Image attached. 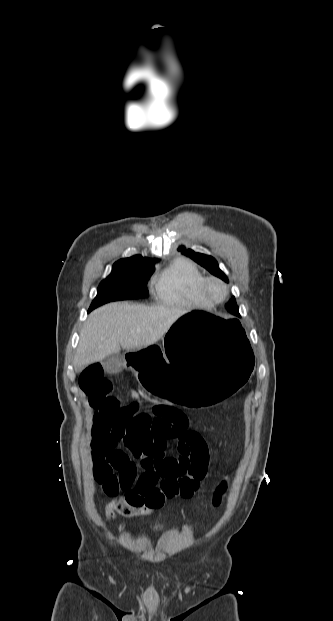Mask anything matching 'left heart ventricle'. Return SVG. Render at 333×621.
Returning <instances> with one entry per match:
<instances>
[{
  "label": "left heart ventricle",
  "instance_id": "1",
  "mask_svg": "<svg viewBox=\"0 0 333 621\" xmlns=\"http://www.w3.org/2000/svg\"><path fill=\"white\" fill-rule=\"evenodd\" d=\"M210 291L213 295L219 296L222 294V287L219 284L214 283L210 286Z\"/></svg>",
  "mask_w": 333,
  "mask_h": 621
}]
</instances>
